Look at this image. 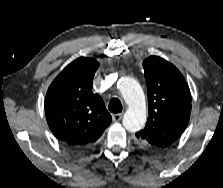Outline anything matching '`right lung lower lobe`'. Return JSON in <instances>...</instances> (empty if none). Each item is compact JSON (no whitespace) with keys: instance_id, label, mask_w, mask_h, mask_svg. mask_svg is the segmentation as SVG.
<instances>
[{"instance_id":"right-lung-lower-lobe-1","label":"right lung lower lobe","mask_w":223,"mask_h":188,"mask_svg":"<svg viewBox=\"0 0 223 188\" xmlns=\"http://www.w3.org/2000/svg\"><path fill=\"white\" fill-rule=\"evenodd\" d=\"M72 149H74V150H78V151H81L80 149H78V148H72Z\"/></svg>"}]
</instances>
